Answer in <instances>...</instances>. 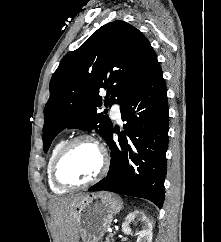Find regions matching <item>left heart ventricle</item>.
Masks as SVG:
<instances>
[{
	"label": "left heart ventricle",
	"instance_id": "1",
	"mask_svg": "<svg viewBox=\"0 0 221 242\" xmlns=\"http://www.w3.org/2000/svg\"><path fill=\"white\" fill-rule=\"evenodd\" d=\"M100 152L89 141L76 143L62 161L59 175L63 181L80 183L92 178L100 166Z\"/></svg>",
	"mask_w": 221,
	"mask_h": 242
}]
</instances>
